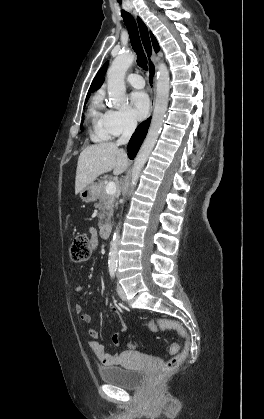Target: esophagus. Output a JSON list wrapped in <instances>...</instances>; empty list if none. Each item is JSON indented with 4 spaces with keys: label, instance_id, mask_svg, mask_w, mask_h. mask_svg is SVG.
<instances>
[{
    "label": "esophagus",
    "instance_id": "34e87169",
    "mask_svg": "<svg viewBox=\"0 0 264 419\" xmlns=\"http://www.w3.org/2000/svg\"><path fill=\"white\" fill-rule=\"evenodd\" d=\"M133 15L137 24L141 44L147 57L149 87H150V91L152 95L151 109H153L154 99H155V89H156V73H157L156 65L154 62L155 52H154L153 45L151 42L149 30L145 21L136 11H133Z\"/></svg>",
    "mask_w": 264,
    "mask_h": 419
}]
</instances>
